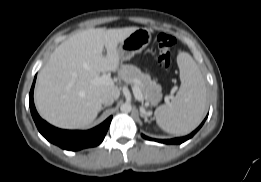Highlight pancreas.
<instances>
[{
	"label": "pancreas",
	"instance_id": "1",
	"mask_svg": "<svg viewBox=\"0 0 261 182\" xmlns=\"http://www.w3.org/2000/svg\"><path fill=\"white\" fill-rule=\"evenodd\" d=\"M120 78L131 86L137 84L143 94L147 103L156 106L160 101L161 86L155 81L151 80L150 75L143 73L139 68L134 65H123L119 71Z\"/></svg>",
	"mask_w": 261,
	"mask_h": 182
}]
</instances>
